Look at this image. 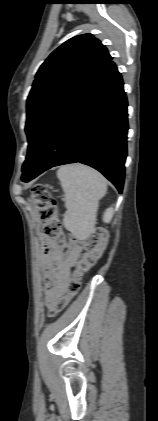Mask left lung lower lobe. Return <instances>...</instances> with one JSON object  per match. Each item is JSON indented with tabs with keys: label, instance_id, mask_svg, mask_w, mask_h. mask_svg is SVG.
Segmentation results:
<instances>
[{
	"label": "left lung lower lobe",
	"instance_id": "obj_1",
	"mask_svg": "<svg viewBox=\"0 0 158 421\" xmlns=\"http://www.w3.org/2000/svg\"><path fill=\"white\" fill-rule=\"evenodd\" d=\"M127 99L112 60L102 66L55 118L21 179L80 162L100 171L122 192L127 155Z\"/></svg>",
	"mask_w": 158,
	"mask_h": 421
}]
</instances>
